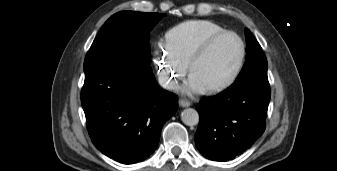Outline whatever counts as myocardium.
Masks as SVG:
<instances>
[{
	"instance_id": "obj_1",
	"label": "myocardium",
	"mask_w": 337,
	"mask_h": 171,
	"mask_svg": "<svg viewBox=\"0 0 337 171\" xmlns=\"http://www.w3.org/2000/svg\"><path fill=\"white\" fill-rule=\"evenodd\" d=\"M226 36H233L234 38L237 39V41L240 44V48H241V53H240V57L239 60L236 64V66L234 67L233 71L231 72V74L221 83H218L216 85L210 86L208 88H206V91L208 92H219L222 90L227 89L228 87H230L239 77L244 63H245V59H246V54H247V48H246V44L244 42V40L242 39V37L234 32V31H229V30H225L223 32H220L210 38H208L207 40H205L203 43H201L199 45V47L196 49V51L193 53L192 57L190 58L189 62H188V70L189 73L192 74V70L194 65L209 51V49L220 39L226 37Z\"/></svg>"
}]
</instances>
